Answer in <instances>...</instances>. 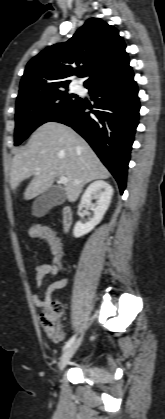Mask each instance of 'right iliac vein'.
I'll return each instance as SVG.
<instances>
[{"label": "right iliac vein", "mask_w": 165, "mask_h": 419, "mask_svg": "<svg viewBox=\"0 0 165 419\" xmlns=\"http://www.w3.org/2000/svg\"><path fill=\"white\" fill-rule=\"evenodd\" d=\"M83 340V337L81 336L78 338L75 342H73L63 353V355L60 358L58 369L59 371L64 370L66 365L68 364L69 360L72 358L78 347L80 346L81 342Z\"/></svg>", "instance_id": "obj_1"}]
</instances>
